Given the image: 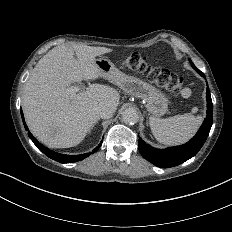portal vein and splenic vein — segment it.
I'll return each mask as SVG.
<instances>
[{"label": "portal vein and splenic vein", "instance_id": "1", "mask_svg": "<svg viewBox=\"0 0 232 232\" xmlns=\"http://www.w3.org/2000/svg\"><path fill=\"white\" fill-rule=\"evenodd\" d=\"M81 89H82V84H79L77 86H70L68 92L70 95H74L77 92H79Z\"/></svg>", "mask_w": 232, "mask_h": 232}]
</instances>
